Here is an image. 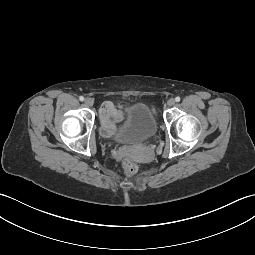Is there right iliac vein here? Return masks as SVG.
Returning a JSON list of instances; mask_svg holds the SVG:
<instances>
[{
  "instance_id": "right-iliac-vein-1",
  "label": "right iliac vein",
  "mask_w": 255,
  "mask_h": 255,
  "mask_svg": "<svg viewBox=\"0 0 255 255\" xmlns=\"http://www.w3.org/2000/svg\"><path fill=\"white\" fill-rule=\"evenodd\" d=\"M84 102H85V105L88 107H92L94 103L91 98H86Z\"/></svg>"
}]
</instances>
